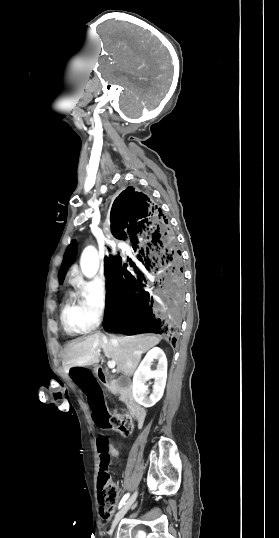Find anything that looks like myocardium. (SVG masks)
Instances as JSON below:
<instances>
[{
    "label": "myocardium",
    "instance_id": "1",
    "mask_svg": "<svg viewBox=\"0 0 279 538\" xmlns=\"http://www.w3.org/2000/svg\"><path fill=\"white\" fill-rule=\"evenodd\" d=\"M71 208H72V207H71ZM98 223H99V216H96L95 219H94V223L91 224L90 227L95 228V227H97ZM133 240H134V237H133V236L128 237V242H129V243H131V241H133Z\"/></svg>",
    "mask_w": 279,
    "mask_h": 538
}]
</instances>
